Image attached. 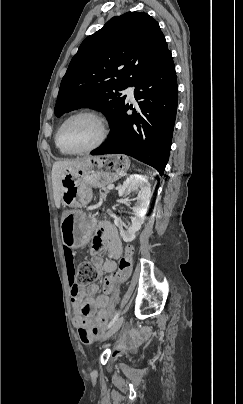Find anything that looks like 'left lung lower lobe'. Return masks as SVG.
Returning a JSON list of instances; mask_svg holds the SVG:
<instances>
[{
	"instance_id": "obj_1",
	"label": "left lung lower lobe",
	"mask_w": 243,
	"mask_h": 404,
	"mask_svg": "<svg viewBox=\"0 0 243 404\" xmlns=\"http://www.w3.org/2000/svg\"><path fill=\"white\" fill-rule=\"evenodd\" d=\"M141 114L127 115L128 105L110 125L106 142L92 155L122 153L151 165L163 175L169 159L178 104V86L171 52L135 84Z\"/></svg>"
}]
</instances>
